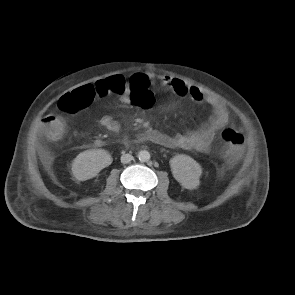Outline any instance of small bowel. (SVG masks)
<instances>
[{
  "instance_id": "obj_1",
  "label": "small bowel",
  "mask_w": 295,
  "mask_h": 295,
  "mask_svg": "<svg viewBox=\"0 0 295 295\" xmlns=\"http://www.w3.org/2000/svg\"><path fill=\"white\" fill-rule=\"evenodd\" d=\"M126 82V89L124 93L120 95V101L122 103L131 102L128 93L129 87L149 88L153 83H157L170 93L190 98L198 103H205L209 105L212 110V116L209 121L199 129L174 135L165 134L155 129H148L139 136L140 140L149 141L169 148L208 152L216 139L217 133L228 123V110L221 101L179 78L157 75L151 72H136L132 74ZM149 93H151L150 90ZM53 116L54 115H49L44 119L42 128H44L45 121ZM99 122L101 126L112 133L118 132L121 127L119 121L109 115L102 116Z\"/></svg>"
}]
</instances>
